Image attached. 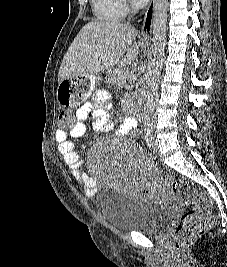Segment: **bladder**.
<instances>
[{
    "label": "bladder",
    "instance_id": "1",
    "mask_svg": "<svg viewBox=\"0 0 227 267\" xmlns=\"http://www.w3.org/2000/svg\"><path fill=\"white\" fill-rule=\"evenodd\" d=\"M100 210L106 223L120 231L159 235L174 218V211L155 200H138L124 191L106 187L102 190Z\"/></svg>",
    "mask_w": 227,
    "mask_h": 267
}]
</instances>
